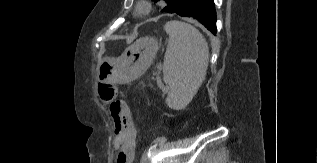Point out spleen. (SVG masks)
Returning <instances> with one entry per match:
<instances>
[{"label":"spleen","instance_id":"obj_1","mask_svg":"<svg viewBox=\"0 0 317 163\" xmlns=\"http://www.w3.org/2000/svg\"><path fill=\"white\" fill-rule=\"evenodd\" d=\"M164 28L169 35L163 64V81L169 88L166 103L181 110L205 79L209 48L199 30L188 23L169 21Z\"/></svg>","mask_w":317,"mask_h":163}]
</instances>
